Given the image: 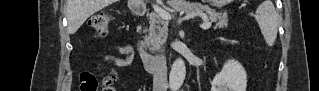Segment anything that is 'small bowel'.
I'll return each mask as SVG.
<instances>
[{
	"mask_svg": "<svg viewBox=\"0 0 319 91\" xmlns=\"http://www.w3.org/2000/svg\"><path fill=\"white\" fill-rule=\"evenodd\" d=\"M116 49L122 53L123 57H114L110 55H106L104 57V60L107 62L112 63L115 67H127L132 62V53L128 45L126 44H117ZM99 71L106 73L110 75L112 78H114L120 85L125 86L126 80L121 76L116 70L112 68H107L103 65H100L98 67Z\"/></svg>",
	"mask_w": 319,
	"mask_h": 91,
	"instance_id": "c3829d8e",
	"label": "small bowel"
}]
</instances>
